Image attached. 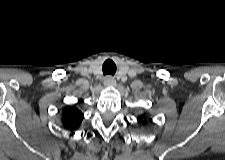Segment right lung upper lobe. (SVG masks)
Listing matches in <instances>:
<instances>
[{
    "label": "right lung upper lobe",
    "mask_w": 225,
    "mask_h": 160,
    "mask_svg": "<svg viewBox=\"0 0 225 160\" xmlns=\"http://www.w3.org/2000/svg\"><path fill=\"white\" fill-rule=\"evenodd\" d=\"M83 113L74 107H66L62 111V123L65 129L69 131L77 130L83 120Z\"/></svg>",
    "instance_id": "cb5924a9"
}]
</instances>
